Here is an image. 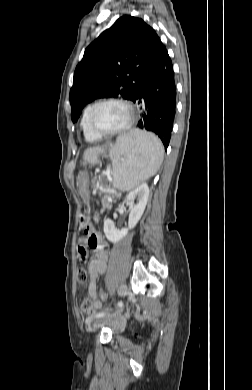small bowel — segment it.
Here are the masks:
<instances>
[{"mask_svg":"<svg viewBox=\"0 0 252 390\" xmlns=\"http://www.w3.org/2000/svg\"><path fill=\"white\" fill-rule=\"evenodd\" d=\"M89 247L95 250V254L89 263L90 280L87 290L94 310L98 311L102 308V301L98 298L97 280L99 275L104 274L107 270L109 250L102 235L92 228L86 230V234L79 239L77 251L80 259L86 260Z\"/></svg>","mask_w":252,"mask_h":390,"instance_id":"1","label":"small bowel"}]
</instances>
